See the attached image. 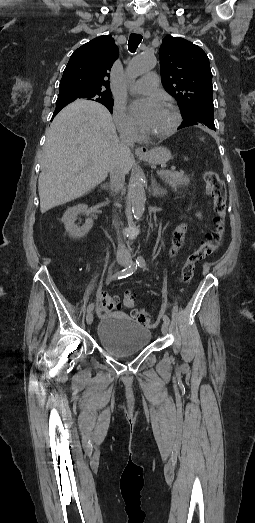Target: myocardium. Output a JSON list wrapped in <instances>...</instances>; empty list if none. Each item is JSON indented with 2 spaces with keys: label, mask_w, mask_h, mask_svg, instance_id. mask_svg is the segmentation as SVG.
<instances>
[{
  "label": "myocardium",
  "mask_w": 255,
  "mask_h": 523,
  "mask_svg": "<svg viewBox=\"0 0 255 523\" xmlns=\"http://www.w3.org/2000/svg\"><path fill=\"white\" fill-rule=\"evenodd\" d=\"M161 104L169 106L174 111L175 120H174L173 126L171 127V129L168 132H166L165 134L158 136L156 138H148L144 135H141L140 138L145 142H157V141H162L164 139H167V138L171 137L172 135H174L181 125L182 117H181V113H180L178 107L170 101H162L160 103V105Z\"/></svg>",
  "instance_id": "f54148a6"
}]
</instances>
